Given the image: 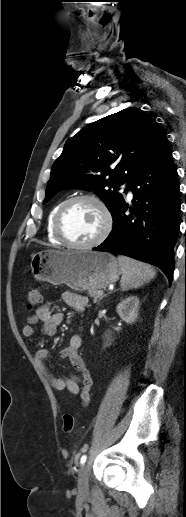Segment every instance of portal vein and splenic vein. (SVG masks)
<instances>
[{"instance_id": "portal-vein-and-splenic-vein-1", "label": "portal vein and splenic vein", "mask_w": 186, "mask_h": 517, "mask_svg": "<svg viewBox=\"0 0 186 517\" xmlns=\"http://www.w3.org/2000/svg\"><path fill=\"white\" fill-rule=\"evenodd\" d=\"M98 294H99V295H103V294H104V292H103V291H98Z\"/></svg>"}]
</instances>
